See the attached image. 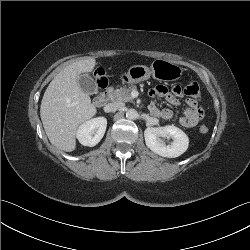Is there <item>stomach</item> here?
I'll list each match as a JSON object with an SVG mask.
<instances>
[{
	"label": "stomach",
	"instance_id": "stomach-1",
	"mask_svg": "<svg viewBox=\"0 0 250 250\" xmlns=\"http://www.w3.org/2000/svg\"><path fill=\"white\" fill-rule=\"evenodd\" d=\"M182 74L183 68L181 66L164 59H156L150 68L145 65L131 66L123 76V82L136 84L151 76L159 81H175L180 79Z\"/></svg>",
	"mask_w": 250,
	"mask_h": 250
}]
</instances>
